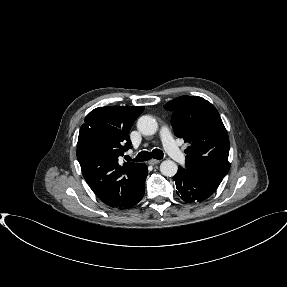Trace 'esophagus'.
<instances>
[{
    "instance_id": "obj_1",
    "label": "esophagus",
    "mask_w": 287,
    "mask_h": 287,
    "mask_svg": "<svg viewBox=\"0 0 287 287\" xmlns=\"http://www.w3.org/2000/svg\"><path fill=\"white\" fill-rule=\"evenodd\" d=\"M160 163V160H157V159H151L150 161H149V164L150 165H156V164H159Z\"/></svg>"
}]
</instances>
